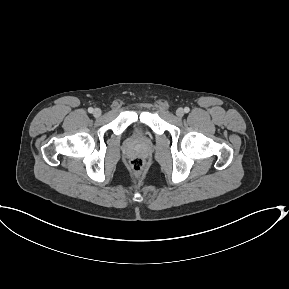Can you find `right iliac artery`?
<instances>
[{"label": "right iliac artery", "instance_id": "obj_1", "mask_svg": "<svg viewBox=\"0 0 289 289\" xmlns=\"http://www.w3.org/2000/svg\"><path fill=\"white\" fill-rule=\"evenodd\" d=\"M93 111H94V110H93L92 107L88 108V112H89V113H92Z\"/></svg>", "mask_w": 289, "mask_h": 289}]
</instances>
